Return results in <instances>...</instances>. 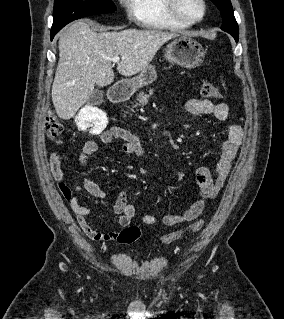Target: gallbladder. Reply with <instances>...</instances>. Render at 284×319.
Returning <instances> with one entry per match:
<instances>
[{"instance_id": "1", "label": "gallbladder", "mask_w": 284, "mask_h": 319, "mask_svg": "<svg viewBox=\"0 0 284 319\" xmlns=\"http://www.w3.org/2000/svg\"><path fill=\"white\" fill-rule=\"evenodd\" d=\"M103 91L102 90H100V89H96L93 93H92V95L89 97V99H88V104L89 105H99V104H101L103 101H104V99H103Z\"/></svg>"}]
</instances>
